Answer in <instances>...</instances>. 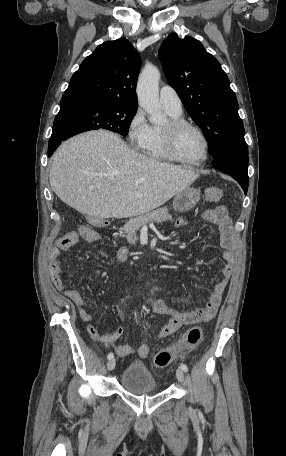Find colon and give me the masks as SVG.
Wrapping results in <instances>:
<instances>
[{
	"label": "colon",
	"mask_w": 286,
	"mask_h": 456,
	"mask_svg": "<svg viewBox=\"0 0 286 456\" xmlns=\"http://www.w3.org/2000/svg\"><path fill=\"white\" fill-rule=\"evenodd\" d=\"M223 191L220 188H209L205 192V198L207 201H215L222 197ZM81 234H90V228L81 227ZM203 340V330L200 327H193L187 331L178 343L175 345L163 349L156 353L154 356V365L158 368H165L170 365L176 356L188 349H192L198 346ZM138 354L140 357H146L149 354V348L143 344L138 348Z\"/></svg>",
	"instance_id": "obj_1"
}]
</instances>
